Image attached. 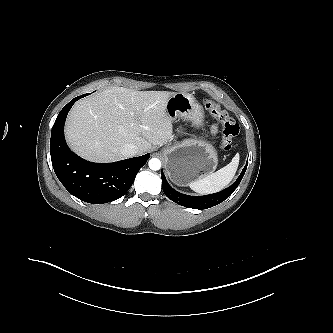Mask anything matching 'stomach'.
Masks as SVG:
<instances>
[{
	"mask_svg": "<svg viewBox=\"0 0 333 333\" xmlns=\"http://www.w3.org/2000/svg\"><path fill=\"white\" fill-rule=\"evenodd\" d=\"M166 111L171 119L181 117L194 129L203 125L204 112L201 105L189 93H175L166 103ZM167 174L177 185L212 174L218 164L217 152L206 140L188 138L163 150Z\"/></svg>",
	"mask_w": 333,
	"mask_h": 333,
	"instance_id": "stomach-1",
	"label": "stomach"
}]
</instances>
